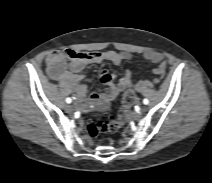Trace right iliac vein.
<instances>
[{"label":"right iliac vein","mask_w":212,"mask_h":183,"mask_svg":"<svg viewBox=\"0 0 212 183\" xmlns=\"http://www.w3.org/2000/svg\"><path fill=\"white\" fill-rule=\"evenodd\" d=\"M66 110H67V112H72V110H73L72 105H67Z\"/></svg>","instance_id":"1"}]
</instances>
